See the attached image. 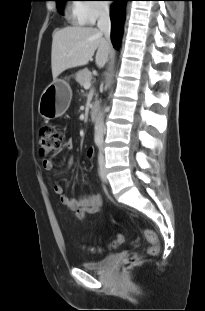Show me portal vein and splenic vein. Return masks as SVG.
Listing matches in <instances>:
<instances>
[{
  "label": "portal vein and splenic vein",
  "instance_id": "obj_1",
  "mask_svg": "<svg viewBox=\"0 0 205 311\" xmlns=\"http://www.w3.org/2000/svg\"><path fill=\"white\" fill-rule=\"evenodd\" d=\"M90 87H91V82L90 81L85 82L84 88L89 89Z\"/></svg>",
  "mask_w": 205,
  "mask_h": 311
}]
</instances>
